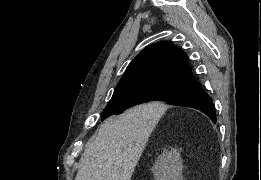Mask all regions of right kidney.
Returning a JSON list of instances; mask_svg holds the SVG:
<instances>
[{
	"label": "right kidney",
	"mask_w": 261,
	"mask_h": 180,
	"mask_svg": "<svg viewBox=\"0 0 261 180\" xmlns=\"http://www.w3.org/2000/svg\"><path fill=\"white\" fill-rule=\"evenodd\" d=\"M156 180H182L183 164L176 150L163 152L152 168Z\"/></svg>",
	"instance_id": "obj_1"
}]
</instances>
